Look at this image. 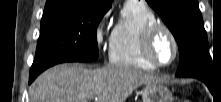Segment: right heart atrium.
<instances>
[{
  "label": "right heart atrium",
  "instance_id": "obj_1",
  "mask_svg": "<svg viewBox=\"0 0 221 102\" xmlns=\"http://www.w3.org/2000/svg\"><path fill=\"white\" fill-rule=\"evenodd\" d=\"M109 13H105L97 22L94 32L95 43L98 48L102 49L109 40V32L107 27Z\"/></svg>",
  "mask_w": 221,
  "mask_h": 102
}]
</instances>
